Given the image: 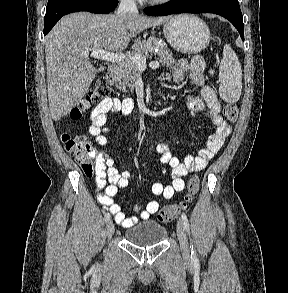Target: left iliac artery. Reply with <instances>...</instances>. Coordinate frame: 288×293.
<instances>
[{
    "mask_svg": "<svg viewBox=\"0 0 288 293\" xmlns=\"http://www.w3.org/2000/svg\"><path fill=\"white\" fill-rule=\"evenodd\" d=\"M181 221L186 229V231L189 233V221H188V218L187 216L183 213L182 216H181ZM191 257L192 259L197 262L198 259H197V255H196V252L195 250L193 249V247L191 248Z\"/></svg>",
    "mask_w": 288,
    "mask_h": 293,
    "instance_id": "44dca946",
    "label": "left iliac artery"
}]
</instances>
